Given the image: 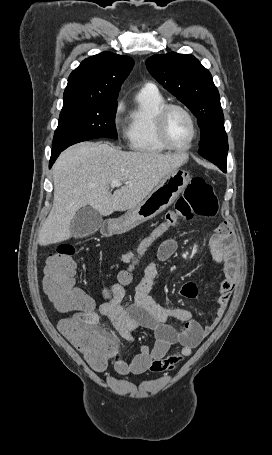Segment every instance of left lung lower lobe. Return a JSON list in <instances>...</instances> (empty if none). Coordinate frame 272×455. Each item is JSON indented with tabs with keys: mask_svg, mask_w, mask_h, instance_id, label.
I'll use <instances>...</instances> for the list:
<instances>
[{
	"mask_svg": "<svg viewBox=\"0 0 272 455\" xmlns=\"http://www.w3.org/2000/svg\"><path fill=\"white\" fill-rule=\"evenodd\" d=\"M227 153L228 152H219L204 156L215 165H217L222 171L226 172V162H227Z\"/></svg>",
	"mask_w": 272,
	"mask_h": 455,
	"instance_id": "left-lung-lower-lobe-1",
	"label": "left lung lower lobe"
}]
</instances>
